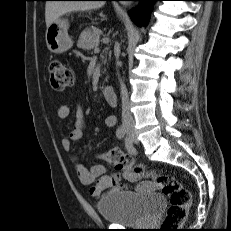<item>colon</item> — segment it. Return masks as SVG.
<instances>
[{"label": "colon", "mask_w": 231, "mask_h": 231, "mask_svg": "<svg viewBox=\"0 0 231 231\" xmlns=\"http://www.w3.org/2000/svg\"><path fill=\"white\" fill-rule=\"evenodd\" d=\"M50 82L53 89L62 92L73 87L74 77L61 61L54 60L50 63ZM98 158L112 163L130 182H137L146 177L161 185L162 192L170 202L161 231H175L186 220L192 203L191 194L174 177L162 172H148L143 165H135L131 156L118 148L99 154Z\"/></svg>", "instance_id": "1"}]
</instances>
